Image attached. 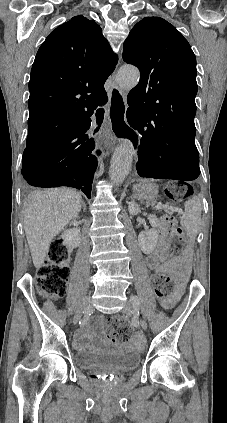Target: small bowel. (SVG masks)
I'll use <instances>...</instances> for the list:
<instances>
[{"label":"small bowel","instance_id":"c3829d8e","mask_svg":"<svg viewBox=\"0 0 227 423\" xmlns=\"http://www.w3.org/2000/svg\"><path fill=\"white\" fill-rule=\"evenodd\" d=\"M146 264L147 266L154 270L156 273H173L176 277L183 281L187 278L189 273V265L187 261V256L182 255L172 261L164 262L161 251L157 250L152 252L146 257ZM178 296H174L170 299L163 301V307L166 309H170L176 303ZM103 322V318L101 316L91 319L87 325L80 329L75 335V345L77 347H84L86 345L87 340L89 339L90 329L94 324H99ZM140 337L135 338V342H138Z\"/></svg>","mask_w":227,"mask_h":423}]
</instances>
